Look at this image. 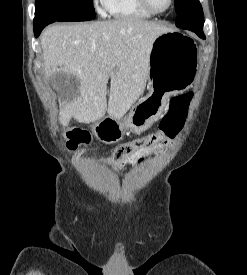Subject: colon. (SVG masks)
<instances>
[{
	"label": "colon",
	"instance_id": "colon-1",
	"mask_svg": "<svg viewBox=\"0 0 247 275\" xmlns=\"http://www.w3.org/2000/svg\"><path fill=\"white\" fill-rule=\"evenodd\" d=\"M191 99L192 94H182L173 97L167 112L159 123L158 129L155 132L116 147L112 153L111 161L122 163L132 155L154 144L175 137L187 118ZM66 138L68 146L72 149L88 144L90 141L89 134L80 128H70L66 132Z\"/></svg>",
	"mask_w": 247,
	"mask_h": 275
}]
</instances>
